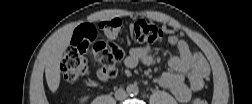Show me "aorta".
Masks as SVG:
<instances>
[{"mask_svg":"<svg viewBox=\"0 0 252 104\" xmlns=\"http://www.w3.org/2000/svg\"><path fill=\"white\" fill-rule=\"evenodd\" d=\"M126 92L128 95L130 96H136L139 92V88L136 84H129L127 87H126Z\"/></svg>","mask_w":252,"mask_h":104,"instance_id":"762f6f07","label":"aorta"}]
</instances>
